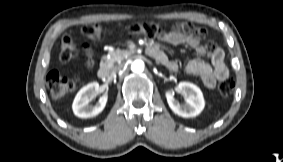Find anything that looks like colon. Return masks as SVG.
Instances as JSON below:
<instances>
[{"instance_id":"colon-1","label":"colon","mask_w":283,"mask_h":162,"mask_svg":"<svg viewBox=\"0 0 283 162\" xmlns=\"http://www.w3.org/2000/svg\"><path fill=\"white\" fill-rule=\"evenodd\" d=\"M129 30L134 35H143L153 38L164 33V25L156 22L134 23L129 26ZM82 33L91 41H98L102 35V26L99 23L87 24L82 28ZM77 55L76 47L69 35L62 39L59 59L63 64L69 63ZM47 83L50 93L54 98H62L72 92L77 83V79L69 77L63 72L53 70L47 76ZM235 83L232 79H225L219 83L218 91L224 98H228L234 91Z\"/></svg>"}]
</instances>
